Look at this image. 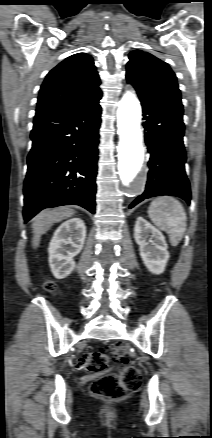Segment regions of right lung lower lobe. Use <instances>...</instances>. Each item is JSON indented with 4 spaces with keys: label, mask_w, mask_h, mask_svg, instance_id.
<instances>
[{
    "label": "right lung lower lobe",
    "mask_w": 212,
    "mask_h": 438,
    "mask_svg": "<svg viewBox=\"0 0 212 438\" xmlns=\"http://www.w3.org/2000/svg\"><path fill=\"white\" fill-rule=\"evenodd\" d=\"M100 116L99 101L35 116L24 182L25 222L61 205L95 213Z\"/></svg>",
    "instance_id": "1"
}]
</instances>
